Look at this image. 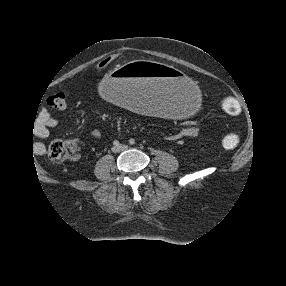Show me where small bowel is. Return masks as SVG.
Masks as SVG:
<instances>
[{
	"label": "small bowel",
	"instance_id": "c3829d8e",
	"mask_svg": "<svg viewBox=\"0 0 286 286\" xmlns=\"http://www.w3.org/2000/svg\"><path fill=\"white\" fill-rule=\"evenodd\" d=\"M57 120L47 111H42L40 114V124L37 127V135L41 139H47L50 136V129L55 127ZM199 133V128L196 126H187L180 131L170 135L169 140L178 141L187 137H195ZM92 136L95 139H101L102 132L99 128L95 127L91 131ZM65 145L68 147L71 152V157L73 160L79 158V151L85 145V142L77 137H69L64 140ZM35 150L43 154L45 151V145L42 142H38L35 145Z\"/></svg>",
	"mask_w": 286,
	"mask_h": 286
}]
</instances>
